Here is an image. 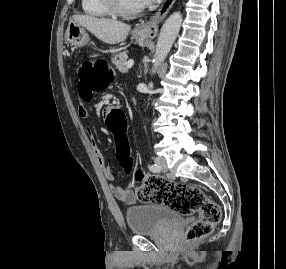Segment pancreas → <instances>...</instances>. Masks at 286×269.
<instances>
[{"label":"pancreas","mask_w":286,"mask_h":269,"mask_svg":"<svg viewBox=\"0 0 286 269\" xmlns=\"http://www.w3.org/2000/svg\"><path fill=\"white\" fill-rule=\"evenodd\" d=\"M112 63L116 65V68L121 73H126L127 69V53L122 52L112 58Z\"/></svg>","instance_id":"1"}]
</instances>
